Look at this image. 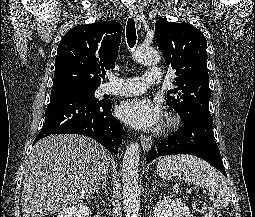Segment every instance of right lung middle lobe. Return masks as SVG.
<instances>
[{
    "instance_id": "dd1d6c3e",
    "label": "right lung middle lobe",
    "mask_w": 255,
    "mask_h": 217,
    "mask_svg": "<svg viewBox=\"0 0 255 217\" xmlns=\"http://www.w3.org/2000/svg\"><path fill=\"white\" fill-rule=\"evenodd\" d=\"M96 89H97V87L69 84V85H63V86H58V87H52L51 93L70 92V93L83 95L86 98L93 100V101H98V99L94 95Z\"/></svg>"
}]
</instances>
